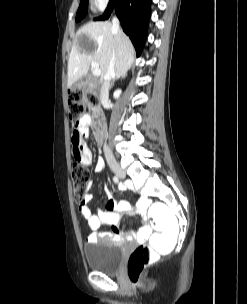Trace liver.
Returning <instances> with one entry per match:
<instances>
[{"instance_id":"6515ba94","label":"liver","mask_w":247,"mask_h":304,"mask_svg":"<svg viewBox=\"0 0 247 304\" xmlns=\"http://www.w3.org/2000/svg\"><path fill=\"white\" fill-rule=\"evenodd\" d=\"M82 40L87 41L83 45ZM115 51V74L126 75L134 62V47L130 39L122 32H115L108 21L91 22L78 30L68 60L67 86L71 87L85 76L92 62L101 70L100 80L107 73L112 51Z\"/></svg>"}]
</instances>
